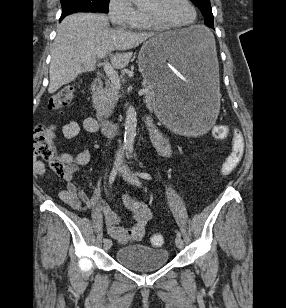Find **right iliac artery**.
<instances>
[{
  "label": "right iliac artery",
  "mask_w": 286,
  "mask_h": 308,
  "mask_svg": "<svg viewBox=\"0 0 286 308\" xmlns=\"http://www.w3.org/2000/svg\"><path fill=\"white\" fill-rule=\"evenodd\" d=\"M126 149H127V147H126V146H123V147L119 150V152H118V154H117V156H116L115 166L113 167V169H112V171H111V173H110V177H109V186H110V187L112 186V184H113V182H114V180H115V177H116V175H117L118 165L120 164V162H121V160H122V157H123L124 152H125ZM107 240H108L107 238H104V239H103V242L105 243Z\"/></svg>",
  "instance_id": "obj_1"
}]
</instances>
